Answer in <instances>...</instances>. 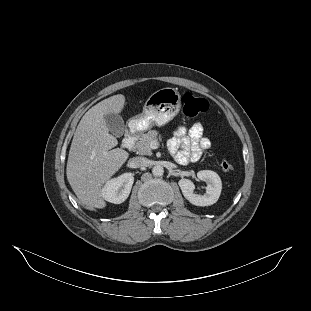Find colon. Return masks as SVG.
Masks as SVG:
<instances>
[{"label":"colon","mask_w":311,"mask_h":311,"mask_svg":"<svg viewBox=\"0 0 311 311\" xmlns=\"http://www.w3.org/2000/svg\"><path fill=\"white\" fill-rule=\"evenodd\" d=\"M208 109V103L204 98L198 97L192 93H186L183 96V113L189 117L194 118L204 114ZM221 169L225 172L233 169V164L228 160L221 162Z\"/></svg>","instance_id":"5ec220e1"}]
</instances>
